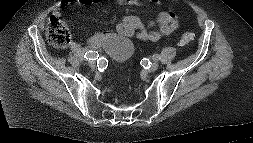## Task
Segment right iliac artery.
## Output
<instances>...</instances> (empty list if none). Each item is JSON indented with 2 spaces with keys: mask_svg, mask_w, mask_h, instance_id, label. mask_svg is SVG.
I'll return each instance as SVG.
<instances>
[{
  "mask_svg": "<svg viewBox=\"0 0 253 143\" xmlns=\"http://www.w3.org/2000/svg\"><path fill=\"white\" fill-rule=\"evenodd\" d=\"M98 57H99L98 52L97 51H93V50L87 51L85 53V55H84V59L88 60V61H90V60H96V59H98Z\"/></svg>",
  "mask_w": 253,
  "mask_h": 143,
  "instance_id": "right-iliac-artery-1",
  "label": "right iliac artery"
}]
</instances>
